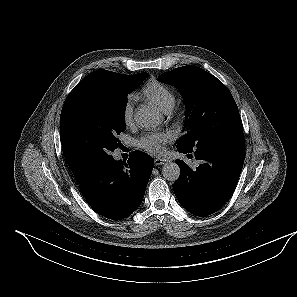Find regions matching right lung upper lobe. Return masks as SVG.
<instances>
[{
    "instance_id": "1",
    "label": "right lung upper lobe",
    "mask_w": 297,
    "mask_h": 297,
    "mask_svg": "<svg viewBox=\"0 0 297 297\" xmlns=\"http://www.w3.org/2000/svg\"><path fill=\"white\" fill-rule=\"evenodd\" d=\"M127 76L129 75L114 73L107 70H97L92 72L83 78L69 93L62 110H65L77 99L85 95L110 92L116 84H118ZM64 156L76 181H81L87 170L78 167L65 153Z\"/></svg>"
}]
</instances>
